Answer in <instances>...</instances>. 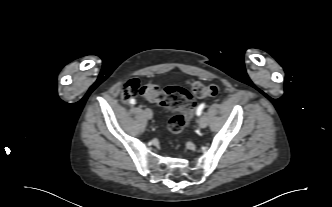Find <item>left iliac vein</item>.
<instances>
[{"mask_svg":"<svg viewBox=\"0 0 332 207\" xmlns=\"http://www.w3.org/2000/svg\"><path fill=\"white\" fill-rule=\"evenodd\" d=\"M198 124L201 128H205L208 125V118L206 115L201 116L198 119Z\"/></svg>","mask_w":332,"mask_h":207,"instance_id":"left-iliac-vein-1","label":"left iliac vein"}]
</instances>
